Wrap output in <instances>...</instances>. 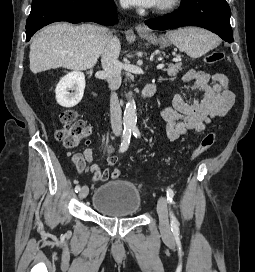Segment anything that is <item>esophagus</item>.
Returning a JSON list of instances; mask_svg holds the SVG:
<instances>
[{"mask_svg": "<svg viewBox=\"0 0 255 272\" xmlns=\"http://www.w3.org/2000/svg\"><path fill=\"white\" fill-rule=\"evenodd\" d=\"M136 31L139 33H146L148 32V29L141 23L137 24L135 27Z\"/></svg>", "mask_w": 255, "mask_h": 272, "instance_id": "34e87169", "label": "esophagus"}]
</instances>
